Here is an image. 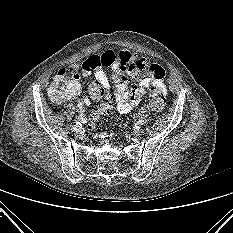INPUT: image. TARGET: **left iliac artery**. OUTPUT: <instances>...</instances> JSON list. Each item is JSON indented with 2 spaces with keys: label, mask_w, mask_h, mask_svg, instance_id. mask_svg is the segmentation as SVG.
<instances>
[{
  "label": "left iliac artery",
  "mask_w": 233,
  "mask_h": 233,
  "mask_svg": "<svg viewBox=\"0 0 233 233\" xmlns=\"http://www.w3.org/2000/svg\"><path fill=\"white\" fill-rule=\"evenodd\" d=\"M144 124V120H139L136 124H135V128L136 129H139V126L138 125H143Z\"/></svg>",
  "instance_id": "left-iliac-artery-1"
}]
</instances>
